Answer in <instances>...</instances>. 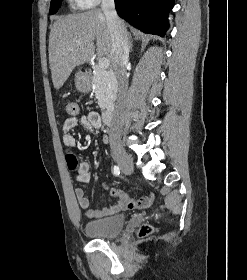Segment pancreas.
<instances>
[{
    "label": "pancreas",
    "instance_id": "1",
    "mask_svg": "<svg viewBox=\"0 0 247 280\" xmlns=\"http://www.w3.org/2000/svg\"><path fill=\"white\" fill-rule=\"evenodd\" d=\"M94 91L101 109H106L113 101L116 84L110 71L95 67L93 71Z\"/></svg>",
    "mask_w": 247,
    "mask_h": 280
}]
</instances>
